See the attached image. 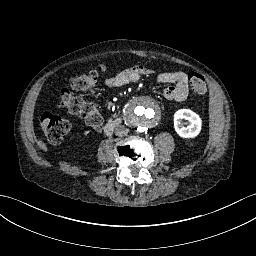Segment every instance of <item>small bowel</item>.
<instances>
[{
    "label": "small bowel",
    "instance_id": "obj_1",
    "mask_svg": "<svg viewBox=\"0 0 256 256\" xmlns=\"http://www.w3.org/2000/svg\"><path fill=\"white\" fill-rule=\"evenodd\" d=\"M152 71L142 66H134L121 70L105 81L110 88H120L124 85L138 80L141 75L150 74ZM158 82L172 84L163 91V96L168 100L182 101L189 92L188 77L181 71H169L160 73L157 77Z\"/></svg>",
    "mask_w": 256,
    "mask_h": 256
}]
</instances>
